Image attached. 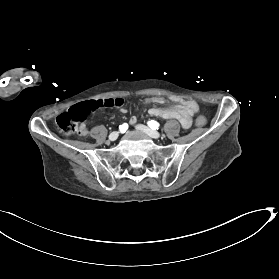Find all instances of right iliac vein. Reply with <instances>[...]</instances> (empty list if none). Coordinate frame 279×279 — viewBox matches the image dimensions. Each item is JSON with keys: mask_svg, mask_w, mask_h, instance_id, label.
<instances>
[{"mask_svg": "<svg viewBox=\"0 0 279 279\" xmlns=\"http://www.w3.org/2000/svg\"><path fill=\"white\" fill-rule=\"evenodd\" d=\"M118 136H119L118 132H112V133L109 135V140L115 141V140L118 138Z\"/></svg>", "mask_w": 279, "mask_h": 279, "instance_id": "63e3f726", "label": "right iliac vein"}]
</instances>
